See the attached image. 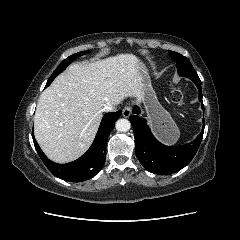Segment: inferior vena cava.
<instances>
[{
	"instance_id": "602c4592",
	"label": "inferior vena cava",
	"mask_w": 240,
	"mask_h": 240,
	"mask_svg": "<svg viewBox=\"0 0 240 240\" xmlns=\"http://www.w3.org/2000/svg\"><path fill=\"white\" fill-rule=\"evenodd\" d=\"M115 110H116L115 106H113V105H111V104L106 105V106L102 109L103 112H113V111H115Z\"/></svg>"
}]
</instances>
